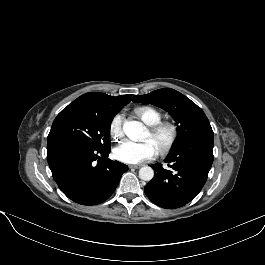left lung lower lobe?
<instances>
[{"label": "left lung lower lobe", "instance_id": "0a47b994", "mask_svg": "<svg viewBox=\"0 0 265 265\" xmlns=\"http://www.w3.org/2000/svg\"><path fill=\"white\" fill-rule=\"evenodd\" d=\"M213 131L190 137L173 149L162 164L152 165L154 178L145 186L147 197L156 205L175 209L193 200L203 188L213 163Z\"/></svg>", "mask_w": 265, "mask_h": 265}]
</instances>
